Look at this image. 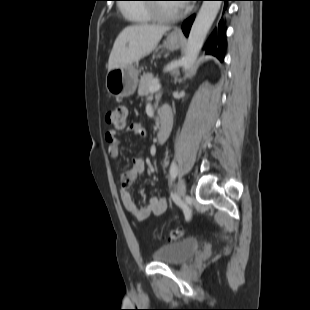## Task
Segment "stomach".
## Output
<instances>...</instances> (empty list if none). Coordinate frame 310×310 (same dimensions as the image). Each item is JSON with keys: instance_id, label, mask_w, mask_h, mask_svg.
<instances>
[{"instance_id": "0dacf381", "label": "stomach", "mask_w": 310, "mask_h": 310, "mask_svg": "<svg viewBox=\"0 0 310 310\" xmlns=\"http://www.w3.org/2000/svg\"><path fill=\"white\" fill-rule=\"evenodd\" d=\"M181 38L170 34L164 46L169 50H174L179 47ZM138 84V72L133 64L124 67H117L109 70L106 75L107 91L117 97L124 98L134 94Z\"/></svg>"}]
</instances>
